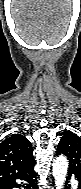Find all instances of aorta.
Instances as JSON below:
<instances>
[{
  "label": "aorta",
  "instance_id": "obj_1",
  "mask_svg": "<svg viewBox=\"0 0 81 189\" xmlns=\"http://www.w3.org/2000/svg\"><path fill=\"white\" fill-rule=\"evenodd\" d=\"M68 160L64 156L57 157L53 162V176L56 189H64Z\"/></svg>",
  "mask_w": 81,
  "mask_h": 189
}]
</instances>
